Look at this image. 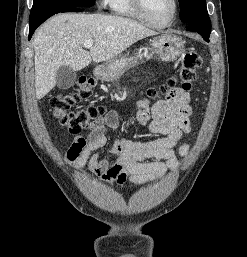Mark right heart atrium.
I'll return each mask as SVG.
<instances>
[{"label":"right heart atrium","instance_id":"d8ad5b80","mask_svg":"<svg viewBox=\"0 0 247 257\" xmlns=\"http://www.w3.org/2000/svg\"><path fill=\"white\" fill-rule=\"evenodd\" d=\"M110 0H99V4L101 7H106L109 4Z\"/></svg>","mask_w":247,"mask_h":257}]
</instances>
